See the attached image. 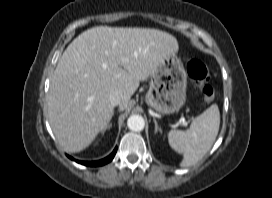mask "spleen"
Instances as JSON below:
<instances>
[{"label": "spleen", "mask_w": 272, "mask_h": 198, "mask_svg": "<svg viewBox=\"0 0 272 198\" xmlns=\"http://www.w3.org/2000/svg\"><path fill=\"white\" fill-rule=\"evenodd\" d=\"M219 126V108L216 104H213L193 119L188 130L169 131V145L183 155L181 167L192 166L205 156L215 142Z\"/></svg>", "instance_id": "obj_1"}]
</instances>
